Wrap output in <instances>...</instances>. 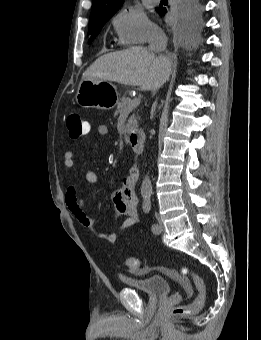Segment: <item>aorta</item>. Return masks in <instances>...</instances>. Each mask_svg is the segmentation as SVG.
Masks as SVG:
<instances>
[{"instance_id": "obj_1", "label": "aorta", "mask_w": 261, "mask_h": 340, "mask_svg": "<svg viewBox=\"0 0 261 340\" xmlns=\"http://www.w3.org/2000/svg\"><path fill=\"white\" fill-rule=\"evenodd\" d=\"M152 192H153V189H152V183H151L150 177L146 175L142 181L141 194L151 195Z\"/></svg>"}]
</instances>
